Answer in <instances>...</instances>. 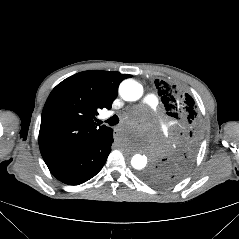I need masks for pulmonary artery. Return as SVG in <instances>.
<instances>
[{"mask_svg":"<svg viewBox=\"0 0 239 239\" xmlns=\"http://www.w3.org/2000/svg\"><path fill=\"white\" fill-rule=\"evenodd\" d=\"M143 104L147 105L151 109H156L158 105V99L154 94H148L143 99Z\"/></svg>","mask_w":239,"mask_h":239,"instance_id":"e3ab8cb5","label":"pulmonary artery"}]
</instances>
